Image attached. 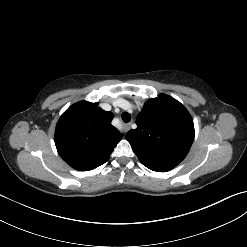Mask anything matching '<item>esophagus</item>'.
Listing matches in <instances>:
<instances>
[{"instance_id":"esophagus-1","label":"esophagus","mask_w":247,"mask_h":247,"mask_svg":"<svg viewBox=\"0 0 247 247\" xmlns=\"http://www.w3.org/2000/svg\"><path fill=\"white\" fill-rule=\"evenodd\" d=\"M123 129L125 132H127L130 129V125L129 124H124Z\"/></svg>"}]
</instances>
